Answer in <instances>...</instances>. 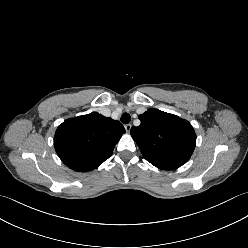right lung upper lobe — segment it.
<instances>
[{
	"instance_id": "1",
	"label": "right lung upper lobe",
	"mask_w": 248,
	"mask_h": 248,
	"mask_svg": "<svg viewBox=\"0 0 248 248\" xmlns=\"http://www.w3.org/2000/svg\"><path fill=\"white\" fill-rule=\"evenodd\" d=\"M123 125L97 112L65 120L58 126L54 147L62 162L74 171L97 168L113 152Z\"/></svg>"
}]
</instances>
